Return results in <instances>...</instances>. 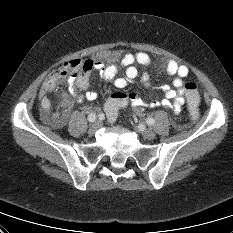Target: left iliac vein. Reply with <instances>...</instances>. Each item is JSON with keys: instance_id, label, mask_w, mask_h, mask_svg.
Returning <instances> with one entry per match:
<instances>
[{"instance_id": "1", "label": "left iliac vein", "mask_w": 233, "mask_h": 233, "mask_svg": "<svg viewBox=\"0 0 233 233\" xmlns=\"http://www.w3.org/2000/svg\"><path fill=\"white\" fill-rule=\"evenodd\" d=\"M137 129L142 133L143 137L147 140H153L155 138V133L150 130L146 129L144 126L139 125Z\"/></svg>"}]
</instances>
